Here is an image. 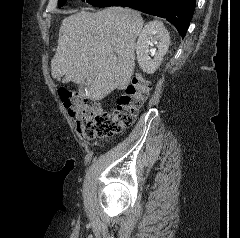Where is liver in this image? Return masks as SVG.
Masks as SVG:
<instances>
[{"label":"liver","mask_w":240,"mask_h":238,"mask_svg":"<svg viewBox=\"0 0 240 238\" xmlns=\"http://www.w3.org/2000/svg\"><path fill=\"white\" fill-rule=\"evenodd\" d=\"M143 24L139 12L121 7L64 18L51 61L52 77L85 83L82 95L93 101L125 89L134 73L135 40Z\"/></svg>","instance_id":"liver-1"}]
</instances>
